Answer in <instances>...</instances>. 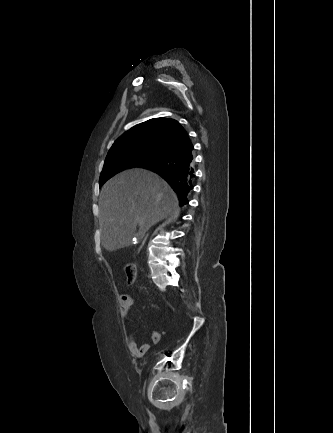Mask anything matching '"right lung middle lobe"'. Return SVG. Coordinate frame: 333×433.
Listing matches in <instances>:
<instances>
[{
	"instance_id": "right-lung-middle-lobe-1",
	"label": "right lung middle lobe",
	"mask_w": 333,
	"mask_h": 433,
	"mask_svg": "<svg viewBox=\"0 0 333 433\" xmlns=\"http://www.w3.org/2000/svg\"><path fill=\"white\" fill-rule=\"evenodd\" d=\"M169 153L160 148L125 147L108 152L99 178L101 187L109 178L130 167H146L164 159Z\"/></svg>"
}]
</instances>
